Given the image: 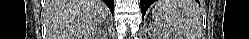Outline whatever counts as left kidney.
I'll list each match as a JSON object with an SVG mask.
<instances>
[{
	"label": "left kidney",
	"instance_id": "5707ae66",
	"mask_svg": "<svg viewBox=\"0 0 249 39\" xmlns=\"http://www.w3.org/2000/svg\"><path fill=\"white\" fill-rule=\"evenodd\" d=\"M157 37L158 39H174V37L171 34L165 31H162V33L159 34Z\"/></svg>",
	"mask_w": 249,
	"mask_h": 39
}]
</instances>
